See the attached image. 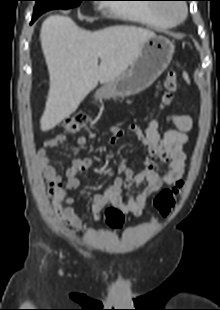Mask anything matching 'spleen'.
I'll return each mask as SVG.
<instances>
[{
  "instance_id": "3e777b00",
  "label": "spleen",
  "mask_w": 220,
  "mask_h": 310,
  "mask_svg": "<svg viewBox=\"0 0 220 310\" xmlns=\"http://www.w3.org/2000/svg\"><path fill=\"white\" fill-rule=\"evenodd\" d=\"M183 76H184V79L187 81V83H189L190 81H189V77L187 73H184Z\"/></svg>"
}]
</instances>
